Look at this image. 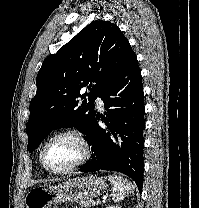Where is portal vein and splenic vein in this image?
<instances>
[{"label":"portal vein and splenic vein","instance_id":"1","mask_svg":"<svg viewBox=\"0 0 199 208\" xmlns=\"http://www.w3.org/2000/svg\"><path fill=\"white\" fill-rule=\"evenodd\" d=\"M101 204V202L100 201H97V205H100Z\"/></svg>","mask_w":199,"mask_h":208}]
</instances>
